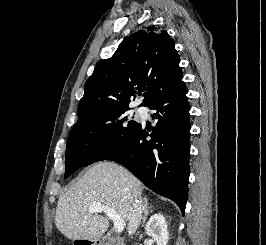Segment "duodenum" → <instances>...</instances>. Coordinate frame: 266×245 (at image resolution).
Wrapping results in <instances>:
<instances>
[{"mask_svg": "<svg viewBox=\"0 0 266 245\" xmlns=\"http://www.w3.org/2000/svg\"><path fill=\"white\" fill-rule=\"evenodd\" d=\"M76 245H125L118 235L108 237H75Z\"/></svg>", "mask_w": 266, "mask_h": 245, "instance_id": "obj_1", "label": "duodenum"}]
</instances>
